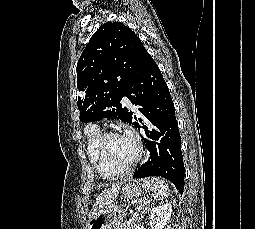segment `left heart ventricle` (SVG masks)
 <instances>
[{
    "mask_svg": "<svg viewBox=\"0 0 255 229\" xmlns=\"http://www.w3.org/2000/svg\"><path fill=\"white\" fill-rule=\"evenodd\" d=\"M135 141L125 135L110 138L105 144L107 156L115 163H127L136 154Z\"/></svg>",
    "mask_w": 255,
    "mask_h": 229,
    "instance_id": "left-heart-ventricle-1",
    "label": "left heart ventricle"
}]
</instances>
